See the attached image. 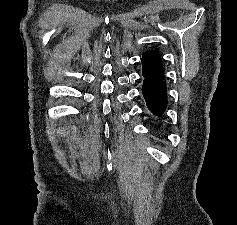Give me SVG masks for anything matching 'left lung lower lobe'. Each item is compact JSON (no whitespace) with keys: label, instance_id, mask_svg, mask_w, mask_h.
I'll return each mask as SVG.
<instances>
[{"label":"left lung lower lobe","instance_id":"obj_1","mask_svg":"<svg viewBox=\"0 0 237 225\" xmlns=\"http://www.w3.org/2000/svg\"><path fill=\"white\" fill-rule=\"evenodd\" d=\"M142 93L153 114L160 116L167 106L166 85L163 80L145 77Z\"/></svg>","mask_w":237,"mask_h":225}]
</instances>
